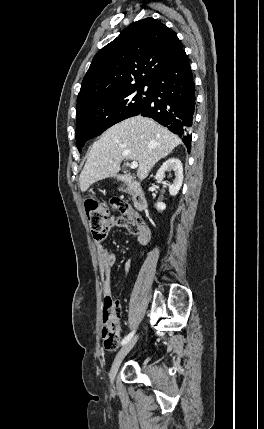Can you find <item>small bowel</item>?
Listing matches in <instances>:
<instances>
[{"mask_svg": "<svg viewBox=\"0 0 264 429\" xmlns=\"http://www.w3.org/2000/svg\"><path fill=\"white\" fill-rule=\"evenodd\" d=\"M114 227L126 228L131 234L137 236V240L142 247H145L150 241V230L143 222H131L126 218L112 217L107 226L104 235L101 238H94L97 246L98 266L103 279V297L104 299L111 297V268L116 262V256L103 245V239L108 232ZM144 250L140 254V259L144 256ZM125 272L130 274L132 266L130 263H125Z\"/></svg>", "mask_w": 264, "mask_h": 429, "instance_id": "small-bowel-1", "label": "small bowel"}]
</instances>
